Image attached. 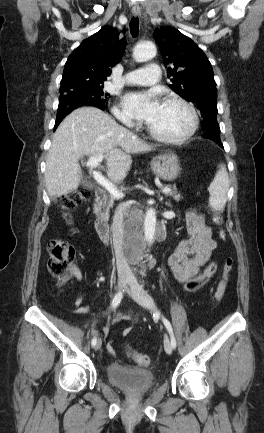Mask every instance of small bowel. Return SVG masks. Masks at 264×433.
Instances as JSON below:
<instances>
[{"label":"small bowel","instance_id":"small-bowel-1","mask_svg":"<svg viewBox=\"0 0 264 433\" xmlns=\"http://www.w3.org/2000/svg\"><path fill=\"white\" fill-rule=\"evenodd\" d=\"M215 247L216 243L212 238L210 228L205 224L204 217L196 212H189L186 216V236L177 244L168 258V265L175 278L185 283L194 277L208 262ZM75 277L78 282H81L80 272L76 271ZM83 299V293L80 292L74 304V312L77 314L88 312L86 308L81 307ZM130 330L126 328L123 335H127ZM102 332L107 335L108 328L104 327ZM107 350L114 353L113 342L107 344Z\"/></svg>","mask_w":264,"mask_h":433}]
</instances>
